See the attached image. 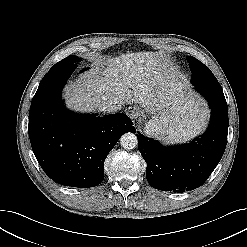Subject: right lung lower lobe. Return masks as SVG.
<instances>
[{"instance_id": "right-lung-lower-lobe-1", "label": "right lung lower lobe", "mask_w": 247, "mask_h": 247, "mask_svg": "<svg viewBox=\"0 0 247 247\" xmlns=\"http://www.w3.org/2000/svg\"><path fill=\"white\" fill-rule=\"evenodd\" d=\"M73 70L59 69L43 77L29 112L28 132L33 152L55 182L94 187L104 179V161L119 138L136 131L126 114L104 117L67 110L61 92Z\"/></svg>"}]
</instances>
